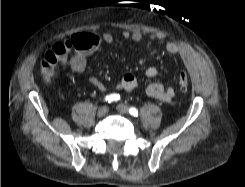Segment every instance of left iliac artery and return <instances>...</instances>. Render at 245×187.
Instances as JSON below:
<instances>
[{"instance_id":"1","label":"left iliac artery","mask_w":245,"mask_h":187,"mask_svg":"<svg viewBox=\"0 0 245 187\" xmlns=\"http://www.w3.org/2000/svg\"><path fill=\"white\" fill-rule=\"evenodd\" d=\"M129 113L131 114V115H133V116H138V110L136 109V108H134V107H131L130 109H129Z\"/></svg>"}]
</instances>
